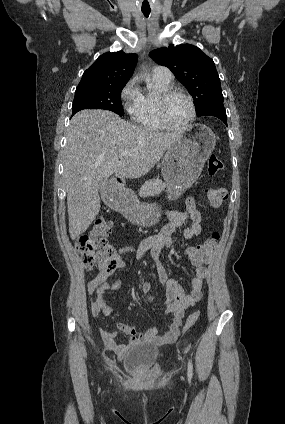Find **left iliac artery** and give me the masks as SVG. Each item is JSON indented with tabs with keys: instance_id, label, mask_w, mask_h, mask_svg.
<instances>
[{
	"instance_id": "1",
	"label": "left iliac artery",
	"mask_w": 285,
	"mask_h": 424,
	"mask_svg": "<svg viewBox=\"0 0 285 424\" xmlns=\"http://www.w3.org/2000/svg\"><path fill=\"white\" fill-rule=\"evenodd\" d=\"M193 375V365L192 362L189 360L188 362V378L191 379Z\"/></svg>"
}]
</instances>
